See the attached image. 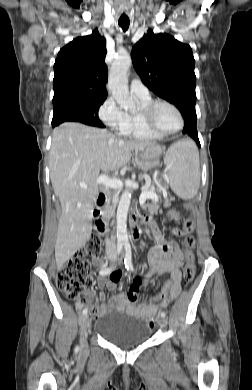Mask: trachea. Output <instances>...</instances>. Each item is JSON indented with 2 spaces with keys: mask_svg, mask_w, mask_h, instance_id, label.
<instances>
[{
  "mask_svg": "<svg viewBox=\"0 0 252 390\" xmlns=\"http://www.w3.org/2000/svg\"><path fill=\"white\" fill-rule=\"evenodd\" d=\"M129 19L128 18H120L118 21L119 26L122 28V30L125 32L129 28Z\"/></svg>",
  "mask_w": 252,
  "mask_h": 390,
  "instance_id": "1",
  "label": "trachea"
}]
</instances>
